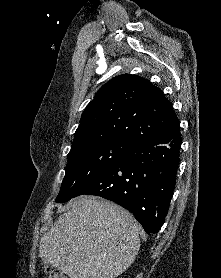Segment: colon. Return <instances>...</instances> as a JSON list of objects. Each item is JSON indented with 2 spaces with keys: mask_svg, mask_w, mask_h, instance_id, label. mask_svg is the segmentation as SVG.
I'll return each instance as SVG.
<instances>
[{
  "mask_svg": "<svg viewBox=\"0 0 221 278\" xmlns=\"http://www.w3.org/2000/svg\"><path fill=\"white\" fill-rule=\"evenodd\" d=\"M47 278H67L63 273L56 269H47Z\"/></svg>",
  "mask_w": 221,
  "mask_h": 278,
  "instance_id": "1",
  "label": "colon"
}]
</instances>
